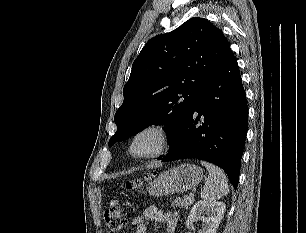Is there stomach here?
Returning a JSON list of instances; mask_svg holds the SVG:
<instances>
[{"label":"stomach","instance_id":"stomach-1","mask_svg":"<svg viewBox=\"0 0 306 233\" xmlns=\"http://www.w3.org/2000/svg\"><path fill=\"white\" fill-rule=\"evenodd\" d=\"M203 170L194 164H181L161 173L147 187L153 196H167L184 192L197 186L203 178Z\"/></svg>","mask_w":306,"mask_h":233}]
</instances>
